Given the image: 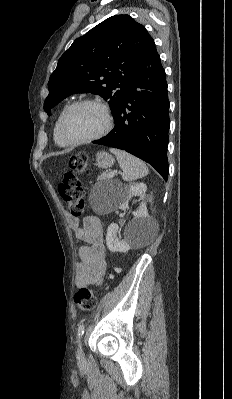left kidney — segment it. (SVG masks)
I'll return each instance as SVG.
<instances>
[{"mask_svg": "<svg viewBox=\"0 0 232 399\" xmlns=\"http://www.w3.org/2000/svg\"><path fill=\"white\" fill-rule=\"evenodd\" d=\"M146 190V184H135V182L124 188L120 209L129 207L128 201L134 198V196H139L142 201H140L138 209L133 211L134 217L127 225L124 239H120L117 235L119 229L117 223H110L108 225L106 241L110 251H128L133 245H138V243L145 241L146 237H148L151 229V221L144 201Z\"/></svg>", "mask_w": 232, "mask_h": 399, "instance_id": "5707ae66", "label": "left kidney"}]
</instances>
